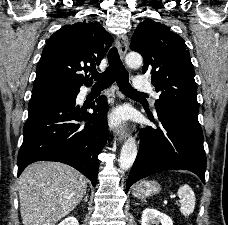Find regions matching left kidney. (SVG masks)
Returning <instances> with one entry per match:
<instances>
[{
  "label": "left kidney",
  "instance_id": "left-kidney-1",
  "mask_svg": "<svg viewBox=\"0 0 228 225\" xmlns=\"http://www.w3.org/2000/svg\"><path fill=\"white\" fill-rule=\"evenodd\" d=\"M173 225L172 219L165 215V213H160V211H156V209H152V207H148L142 213L141 217V225Z\"/></svg>",
  "mask_w": 228,
  "mask_h": 225
}]
</instances>
